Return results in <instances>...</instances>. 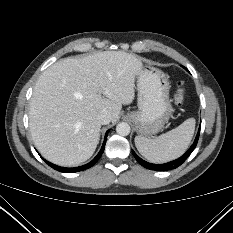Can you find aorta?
Wrapping results in <instances>:
<instances>
[{
  "instance_id": "1",
  "label": "aorta",
  "mask_w": 233,
  "mask_h": 233,
  "mask_svg": "<svg viewBox=\"0 0 233 233\" xmlns=\"http://www.w3.org/2000/svg\"><path fill=\"white\" fill-rule=\"evenodd\" d=\"M130 125L126 122H120L117 126H116V132L120 135V136H127L130 133Z\"/></svg>"
}]
</instances>
